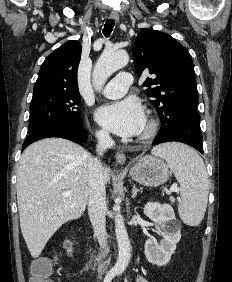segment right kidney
Segmentation results:
<instances>
[{
  "label": "right kidney",
  "instance_id": "ca27d5eb",
  "mask_svg": "<svg viewBox=\"0 0 232 282\" xmlns=\"http://www.w3.org/2000/svg\"><path fill=\"white\" fill-rule=\"evenodd\" d=\"M66 243H69V241H65L64 246L66 245ZM70 244L72 245L71 242H70ZM67 252H68V253L72 252V248H71V247L68 248V249H67Z\"/></svg>",
  "mask_w": 232,
  "mask_h": 282
}]
</instances>
